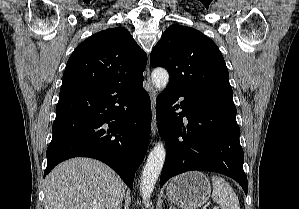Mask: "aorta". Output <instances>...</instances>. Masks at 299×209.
<instances>
[{"instance_id":"aorta-1","label":"aorta","mask_w":299,"mask_h":209,"mask_svg":"<svg viewBox=\"0 0 299 209\" xmlns=\"http://www.w3.org/2000/svg\"><path fill=\"white\" fill-rule=\"evenodd\" d=\"M151 80L156 89H164L169 82V74L164 68H156L151 74ZM166 158V150L162 141L158 142L149 153L141 176L140 192L146 202L155 187Z\"/></svg>"}]
</instances>
